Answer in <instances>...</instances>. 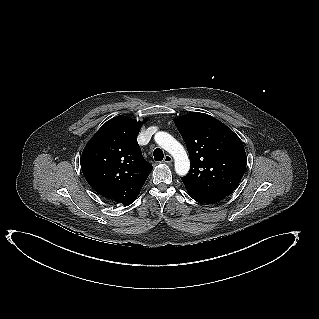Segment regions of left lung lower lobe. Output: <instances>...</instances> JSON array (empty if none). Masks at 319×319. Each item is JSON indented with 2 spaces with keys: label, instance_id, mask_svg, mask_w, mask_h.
I'll return each instance as SVG.
<instances>
[{
  "label": "left lung lower lobe",
  "instance_id": "1",
  "mask_svg": "<svg viewBox=\"0 0 319 319\" xmlns=\"http://www.w3.org/2000/svg\"><path fill=\"white\" fill-rule=\"evenodd\" d=\"M187 192L191 198H193L195 201H197L199 203L211 204V203L218 202L217 200L211 199L207 196L201 195V194L194 192V191H191V190H187Z\"/></svg>",
  "mask_w": 319,
  "mask_h": 319
}]
</instances>
